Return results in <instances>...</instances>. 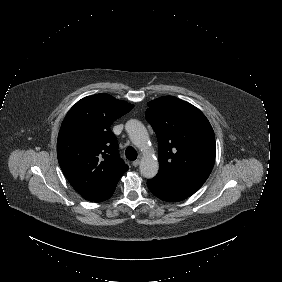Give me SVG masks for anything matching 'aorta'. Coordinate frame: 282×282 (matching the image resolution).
Returning <instances> with one entry per match:
<instances>
[{
    "mask_svg": "<svg viewBox=\"0 0 282 282\" xmlns=\"http://www.w3.org/2000/svg\"><path fill=\"white\" fill-rule=\"evenodd\" d=\"M125 130L136 147L143 150L147 149L149 134L142 122L136 119L128 120L125 124ZM139 169L143 177H155L159 170L157 157L153 154H145L140 161Z\"/></svg>",
    "mask_w": 282,
    "mask_h": 282,
    "instance_id": "1",
    "label": "aorta"
}]
</instances>
